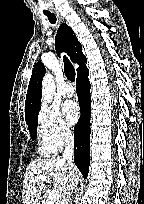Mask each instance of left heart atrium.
<instances>
[{"label":"left heart atrium","instance_id":"left-heart-atrium-1","mask_svg":"<svg viewBox=\"0 0 144 204\" xmlns=\"http://www.w3.org/2000/svg\"><path fill=\"white\" fill-rule=\"evenodd\" d=\"M63 112L70 124L76 123L80 117V108L74 101H67L63 105Z\"/></svg>","mask_w":144,"mask_h":204}]
</instances>
